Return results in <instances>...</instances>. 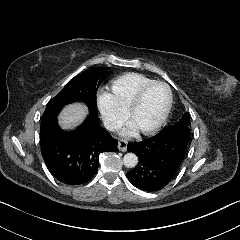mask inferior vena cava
Returning <instances> with one entry per match:
<instances>
[{
    "mask_svg": "<svg viewBox=\"0 0 240 240\" xmlns=\"http://www.w3.org/2000/svg\"><path fill=\"white\" fill-rule=\"evenodd\" d=\"M105 127L110 131H116L121 128V123L112 119V118H106L104 119Z\"/></svg>",
    "mask_w": 240,
    "mask_h": 240,
    "instance_id": "602c4592",
    "label": "inferior vena cava"
}]
</instances>
